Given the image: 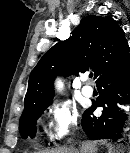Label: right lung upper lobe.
Masks as SVG:
<instances>
[{
    "instance_id": "1",
    "label": "right lung upper lobe",
    "mask_w": 130,
    "mask_h": 153,
    "mask_svg": "<svg viewBox=\"0 0 130 153\" xmlns=\"http://www.w3.org/2000/svg\"><path fill=\"white\" fill-rule=\"evenodd\" d=\"M129 55L124 31L112 17L83 18L72 36L51 47L31 72L23 112L51 102L56 75H78L91 69L98 79Z\"/></svg>"
}]
</instances>
